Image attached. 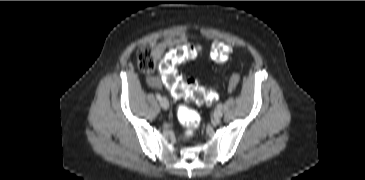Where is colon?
<instances>
[{
	"mask_svg": "<svg viewBox=\"0 0 365 180\" xmlns=\"http://www.w3.org/2000/svg\"><path fill=\"white\" fill-rule=\"evenodd\" d=\"M200 52L198 44H184L170 51L169 55L161 62V76L164 84L171 92L180 98L192 99L200 104L210 105L218 98V91L214 88L205 89L196 80L183 81L177 71V66L194 59ZM211 58L218 63L225 62L228 51L225 44L215 41L211 47ZM137 64L141 71L149 73L156 66L155 54L149 46L139 48L137 52ZM238 83V76L233 75L229 81V88L234 89ZM178 118L185 127L184 139H191L200 124V116L197 112L182 104L178 108Z\"/></svg>",
	"mask_w": 365,
	"mask_h": 180,
	"instance_id": "5ec220e1",
	"label": "colon"
}]
</instances>
